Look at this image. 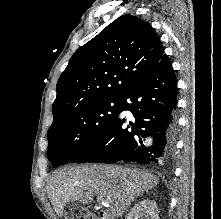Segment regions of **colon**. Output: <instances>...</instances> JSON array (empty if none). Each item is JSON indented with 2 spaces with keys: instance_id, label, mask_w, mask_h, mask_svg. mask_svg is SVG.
Returning <instances> with one entry per match:
<instances>
[{
  "instance_id": "obj_1",
  "label": "colon",
  "mask_w": 221,
  "mask_h": 219,
  "mask_svg": "<svg viewBox=\"0 0 221 219\" xmlns=\"http://www.w3.org/2000/svg\"><path fill=\"white\" fill-rule=\"evenodd\" d=\"M66 219H95V216L84 208L72 206L66 211Z\"/></svg>"
}]
</instances>
